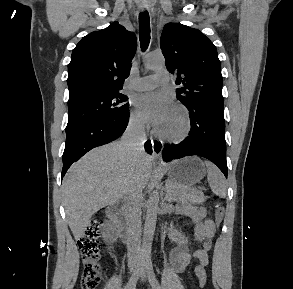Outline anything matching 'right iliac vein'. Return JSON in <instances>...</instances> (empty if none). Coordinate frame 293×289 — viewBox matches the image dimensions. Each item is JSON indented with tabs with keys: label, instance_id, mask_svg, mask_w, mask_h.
<instances>
[{
	"label": "right iliac vein",
	"instance_id": "63e3f726",
	"mask_svg": "<svg viewBox=\"0 0 293 289\" xmlns=\"http://www.w3.org/2000/svg\"><path fill=\"white\" fill-rule=\"evenodd\" d=\"M135 270H136V268H135V269H134V268H132V271H131V273H130V279H132V278H133Z\"/></svg>",
	"mask_w": 293,
	"mask_h": 289
}]
</instances>
